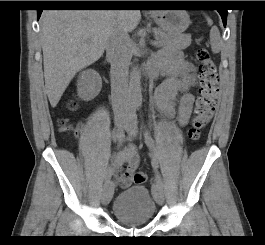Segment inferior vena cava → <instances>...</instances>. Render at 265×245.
Masks as SVG:
<instances>
[{"instance_id": "inferior-vena-cava-1", "label": "inferior vena cava", "mask_w": 265, "mask_h": 245, "mask_svg": "<svg viewBox=\"0 0 265 245\" xmlns=\"http://www.w3.org/2000/svg\"><path fill=\"white\" fill-rule=\"evenodd\" d=\"M130 38L126 31L113 28L106 42V56L111 63V95L115 115H124L130 111L129 65L131 51Z\"/></svg>"}]
</instances>
